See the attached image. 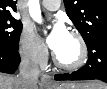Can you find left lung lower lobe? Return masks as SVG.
<instances>
[{"label":"left lung lower lobe","instance_id":"obj_1","mask_svg":"<svg viewBox=\"0 0 107 89\" xmlns=\"http://www.w3.org/2000/svg\"><path fill=\"white\" fill-rule=\"evenodd\" d=\"M88 61L73 73L57 74L55 80L97 79L107 83V33L98 35L87 43Z\"/></svg>","mask_w":107,"mask_h":89}]
</instances>
